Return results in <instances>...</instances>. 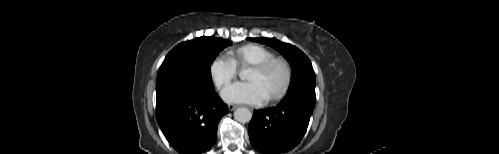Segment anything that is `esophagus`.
I'll return each mask as SVG.
<instances>
[{
    "label": "esophagus",
    "instance_id": "esophagus-1",
    "mask_svg": "<svg viewBox=\"0 0 499 154\" xmlns=\"http://www.w3.org/2000/svg\"><path fill=\"white\" fill-rule=\"evenodd\" d=\"M236 107H237V105H235V104H229V105H228V109H229L230 111L235 110V109H236Z\"/></svg>",
    "mask_w": 499,
    "mask_h": 154
}]
</instances>
